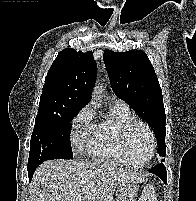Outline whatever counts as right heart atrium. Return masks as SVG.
<instances>
[{
  "mask_svg": "<svg viewBox=\"0 0 196 201\" xmlns=\"http://www.w3.org/2000/svg\"><path fill=\"white\" fill-rule=\"evenodd\" d=\"M93 130V111L87 105L76 114L71 122V141L76 152L87 150Z\"/></svg>",
  "mask_w": 196,
  "mask_h": 201,
  "instance_id": "1",
  "label": "right heart atrium"
}]
</instances>
